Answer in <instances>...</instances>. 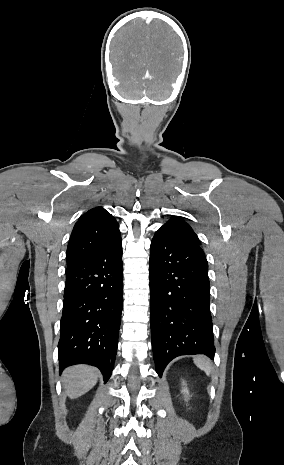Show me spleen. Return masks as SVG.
Instances as JSON below:
<instances>
[{
	"label": "spleen",
	"instance_id": "spleen-1",
	"mask_svg": "<svg viewBox=\"0 0 284 465\" xmlns=\"http://www.w3.org/2000/svg\"><path fill=\"white\" fill-rule=\"evenodd\" d=\"M196 367H199V369H201V371H204V373H206V375H211V363L210 361H208V359H206V357H194L193 359Z\"/></svg>",
	"mask_w": 284,
	"mask_h": 465
}]
</instances>
